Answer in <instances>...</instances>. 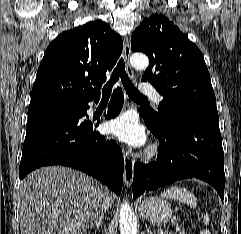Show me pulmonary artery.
Segmentation results:
<instances>
[{"label":"pulmonary artery","mask_w":241,"mask_h":234,"mask_svg":"<svg viewBox=\"0 0 241 234\" xmlns=\"http://www.w3.org/2000/svg\"><path fill=\"white\" fill-rule=\"evenodd\" d=\"M140 91L142 94L150 96L156 104H159L162 101V96L151 85H142Z\"/></svg>","instance_id":"1"}]
</instances>
